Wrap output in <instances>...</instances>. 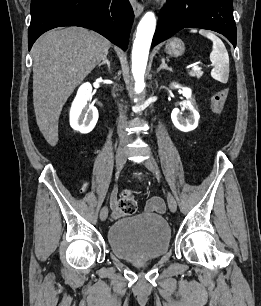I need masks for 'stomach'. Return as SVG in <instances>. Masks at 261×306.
Here are the masks:
<instances>
[{
	"mask_svg": "<svg viewBox=\"0 0 261 306\" xmlns=\"http://www.w3.org/2000/svg\"><path fill=\"white\" fill-rule=\"evenodd\" d=\"M166 53L173 57L181 56L185 51V45L179 38L170 39L165 47Z\"/></svg>",
	"mask_w": 261,
	"mask_h": 306,
	"instance_id": "stomach-1",
	"label": "stomach"
}]
</instances>
